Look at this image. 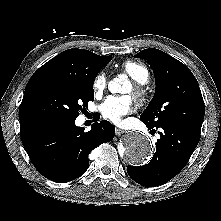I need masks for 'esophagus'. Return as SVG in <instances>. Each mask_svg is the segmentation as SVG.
Here are the masks:
<instances>
[{"label": "esophagus", "instance_id": "esophagus-1", "mask_svg": "<svg viewBox=\"0 0 221 221\" xmlns=\"http://www.w3.org/2000/svg\"><path fill=\"white\" fill-rule=\"evenodd\" d=\"M115 132H116V135H118V136H120V135H122L123 133H125L124 130L119 129V128H116Z\"/></svg>", "mask_w": 221, "mask_h": 221}]
</instances>
